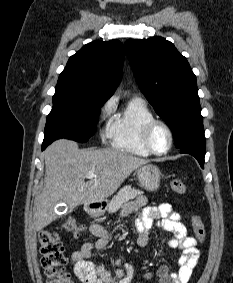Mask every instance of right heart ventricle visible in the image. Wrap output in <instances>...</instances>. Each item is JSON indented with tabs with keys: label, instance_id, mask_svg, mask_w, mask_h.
<instances>
[{
	"label": "right heart ventricle",
	"instance_id": "obj_1",
	"mask_svg": "<svg viewBox=\"0 0 233 283\" xmlns=\"http://www.w3.org/2000/svg\"><path fill=\"white\" fill-rule=\"evenodd\" d=\"M154 118L143 100L132 99L121 111L114 114L109 125L111 146L124 153L147 157L150 153L141 143L143 125Z\"/></svg>",
	"mask_w": 233,
	"mask_h": 283
}]
</instances>
